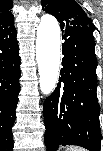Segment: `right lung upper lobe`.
<instances>
[{
  "instance_id": "obj_1",
  "label": "right lung upper lobe",
  "mask_w": 103,
  "mask_h": 151,
  "mask_svg": "<svg viewBox=\"0 0 103 151\" xmlns=\"http://www.w3.org/2000/svg\"><path fill=\"white\" fill-rule=\"evenodd\" d=\"M11 0H1L0 2V34L9 33L15 29L14 17L11 14Z\"/></svg>"
}]
</instances>
